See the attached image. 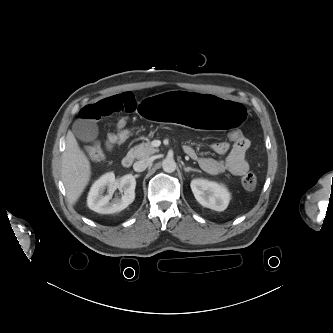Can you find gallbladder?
<instances>
[{
  "label": "gallbladder",
  "instance_id": "obj_1",
  "mask_svg": "<svg viewBox=\"0 0 333 333\" xmlns=\"http://www.w3.org/2000/svg\"><path fill=\"white\" fill-rule=\"evenodd\" d=\"M74 135L85 142L95 139L98 135V127L86 119H78L72 126Z\"/></svg>",
  "mask_w": 333,
  "mask_h": 333
}]
</instances>
